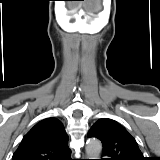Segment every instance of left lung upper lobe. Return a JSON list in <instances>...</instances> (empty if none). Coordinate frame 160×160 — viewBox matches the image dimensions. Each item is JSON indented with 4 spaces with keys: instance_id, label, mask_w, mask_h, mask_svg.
I'll return each mask as SVG.
<instances>
[{
    "instance_id": "left-lung-upper-lobe-1",
    "label": "left lung upper lobe",
    "mask_w": 160,
    "mask_h": 160,
    "mask_svg": "<svg viewBox=\"0 0 160 160\" xmlns=\"http://www.w3.org/2000/svg\"><path fill=\"white\" fill-rule=\"evenodd\" d=\"M88 136L101 140L103 155L110 157L102 160H145L136 140L112 119H99L89 130Z\"/></svg>"
}]
</instances>
